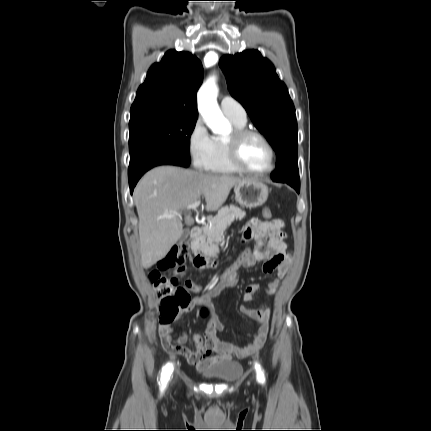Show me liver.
<instances>
[{
    "label": "liver",
    "mask_w": 431,
    "mask_h": 431,
    "mask_svg": "<svg viewBox=\"0 0 431 431\" xmlns=\"http://www.w3.org/2000/svg\"><path fill=\"white\" fill-rule=\"evenodd\" d=\"M245 178L212 175L174 166H160L147 172L134 190L139 217L141 265L150 268L164 258L183 233L179 217L166 218L205 198V209L216 211L230 190ZM188 225L193 223L186 216Z\"/></svg>",
    "instance_id": "obj_1"
}]
</instances>
